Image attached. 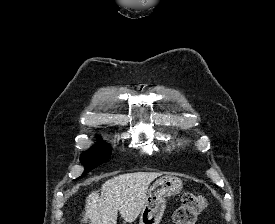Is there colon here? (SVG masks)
<instances>
[{
	"label": "colon",
	"instance_id": "obj_1",
	"mask_svg": "<svg viewBox=\"0 0 275 224\" xmlns=\"http://www.w3.org/2000/svg\"><path fill=\"white\" fill-rule=\"evenodd\" d=\"M207 207L206 199L201 195L185 193L181 205L174 211L173 224H194L197 216Z\"/></svg>",
	"mask_w": 275,
	"mask_h": 224
}]
</instances>
